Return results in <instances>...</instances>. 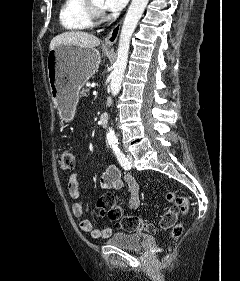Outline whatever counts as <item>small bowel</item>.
I'll list each match as a JSON object with an SVG mask.
<instances>
[{"label":"small bowel","mask_w":240,"mask_h":281,"mask_svg":"<svg viewBox=\"0 0 240 281\" xmlns=\"http://www.w3.org/2000/svg\"><path fill=\"white\" fill-rule=\"evenodd\" d=\"M127 187L129 191L128 205L132 209H136L140 206L141 200L139 195V185L135 178L131 174H122L121 170L115 165H109L100 179V189L106 193L112 190H121ZM68 192L72 199L76 200L72 205L73 216L80 220L79 227L85 232L89 233L95 239H104L111 236L113 230L110 227L102 229L95 228L93 223L84 219V207L81 197V186L79 181V174L74 173L70 176L68 181Z\"/></svg>","instance_id":"obj_1"}]
</instances>
